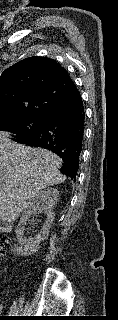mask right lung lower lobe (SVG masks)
Here are the masks:
<instances>
[{"instance_id": "98d812e1", "label": "right lung lower lobe", "mask_w": 118, "mask_h": 320, "mask_svg": "<svg viewBox=\"0 0 118 320\" xmlns=\"http://www.w3.org/2000/svg\"><path fill=\"white\" fill-rule=\"evenodd\" d=\"M84 126L85 112L79 94L53 108L43 119L39 131L15 141L56 153L63 160L60 171L75 179L82 151Z\"/></svg>"}]
</instances>
